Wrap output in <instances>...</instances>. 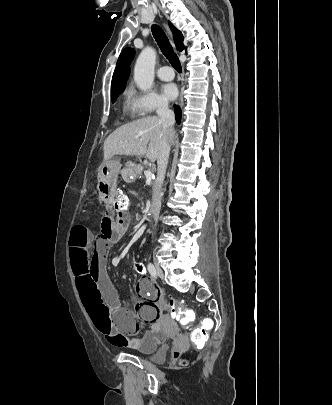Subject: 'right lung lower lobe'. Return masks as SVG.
Here are the masks:
<instances>
[{
  "label": "right lung lower lobe",
  "mask_w": 332,
  "mask_h": 405,
  "mask_svg": "<svg viewBox=\"0 0 332 405\" xmlns=\"http://www.w3.org/2000/svg\"><path fill=\"white\" fill-rule=\"evenodd\" d=\"M175 115H176L177 123H180V120H181V111H180V109H179L178 107H175Z\"/></svg>",
  "instance_id": "98d812e1"
}]
</instances>
